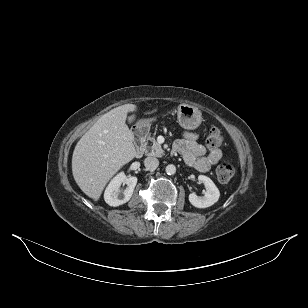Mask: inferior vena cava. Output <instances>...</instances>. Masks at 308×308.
<instances>
[{
  "instance_id": "inferior-vena-cava-1",
  "label": "inferior vena cava",
  "mask_w": 308,
  "mask_h": 308,
  "mask_svg": "<svg viewBox=\"0 0 308 308\" xmlns=\"http://www.w3.org/2000/svg\"><path fill=\"white\" fill-rule=\"evenodd\" d=\"M144 165L147 169H156L159 165V160L156 157H147L144 160Z\"/></svg>"
}]
</instances>
